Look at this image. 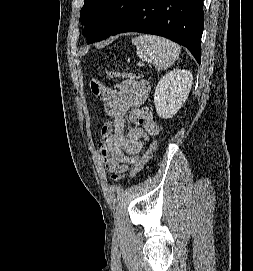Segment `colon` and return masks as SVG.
<instances>
[{"label": "colon", "instance_id": "1", "mask_svg": "<svg viewBox=\"0 0 253 271\" xmlns=\"http://www.w3.org/2000/svg\"><path fill=\"white\" fill-rule=\"evenodd\" d=\"M124 76H130L129 74H123ZM133 77L135 78H139V76L134 75ZM103 87L101 84L94 82L92 83V90L94 92V94L99 97L101 94ZM156 147V140H152L148 146L147 149L145 151V153L143 154L142 157H140L136 162H135V168L134 171L132 172V177L136 176L140 171H142L144 169V167L146 166V164L149 162L154 150ZM112 178L114 180H119L121 178V175L118 174H113Z\"/></svg>", "mask_w": 253, "mask_h": 271}]
</instances>
